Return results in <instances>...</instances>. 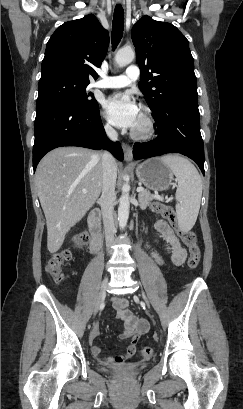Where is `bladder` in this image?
<instances>
[{"instance_id": "bladder-1", "label": "bladder", "mask_w": 243, "mask_h": 409, "mask_svg": "<svg viewBox=\"0 0 243 409\" xmlns=\"http://www.w3.org/2000/svg\"><path fill=\"white\" fill-rule=\"evenodd\" d=\"M144 368L140 364H124L116 367L101 366L100 371L102 373L111 374V375H135L142 371Z\"/></svg>"}]
</instances>
